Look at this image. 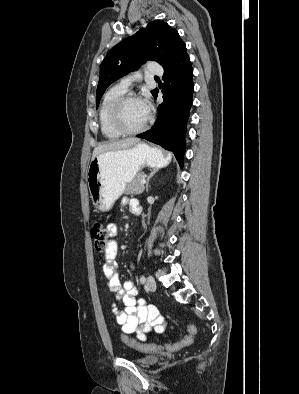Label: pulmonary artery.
<instances>
[{
  "label": "pulmonary artery",
  "instance_id": "e3ab8cb5",
  "mask_svg": "<svg viewBox=\"0 0 299 394\" xmlns=\"http://www.w3.org/2000/svg\"><path fill=\"white\" fill-rule=\"evenodd\" d=\"M149 68H150L151 75L161 76L163 74L162 68H159L155 65H150ZM136 77H137V75H135V74L127 75L120 80L118 85L127 91L130 88V86L132 85V83L136 80Z\"/></svg>",
  "mask_w": 299,
  "mask_h": 394
}]
</instances>
